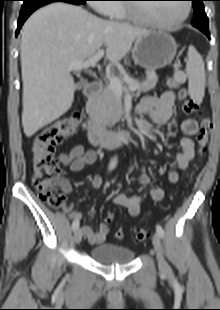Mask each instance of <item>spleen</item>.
<instances>
[{"mask_svg": "<svg viewBox=\"0 0 220 310\" xmlns=\"http://www.w3.org/2000/svg\"><path fill=\"white\" fill-rule=\"evenodd\" d=\"M186 74L189 94L195 102L200 103L205 91V69L201 55L193 46L188 48Z\"/></svg>", "mask_w": 220, "mask_h": 310, "instance_id": "obj_1", "label": "spleen"}]
</instances>
